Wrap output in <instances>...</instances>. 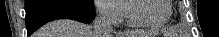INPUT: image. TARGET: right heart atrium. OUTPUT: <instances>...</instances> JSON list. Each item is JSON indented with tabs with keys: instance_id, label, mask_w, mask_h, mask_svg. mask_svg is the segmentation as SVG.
I'll list each match as a JSON object with an SVG mask.
<instances>
[{
	"instance_id": "obj_1",
	"label": "right heart atrium",
	"mask_w": 219,
	"mask_h": 37,
	"mask_svg": "<svg viewBox=\"0 0 219 37\" xmlns=\"http://www.w3.org/2000/svg\"><path fill=\"white\" fill-rule=\"evenodd\" d=\"M96 5L101 16L114 23L123 20L125 16L121 0L97 1Z\"/></svg>"
}]
</instances>
